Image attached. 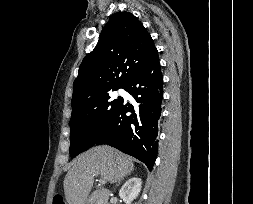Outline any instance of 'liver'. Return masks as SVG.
<instances>
[{
  "instance_id": "6515ba94",
  "label": "liver",
  "mask_w": 253,
  "mask_h": 204,
  "mask_svg": "<svg viewBox=\"0 0 253 204\" xmlns=\"http://www.w3.org/2000/svg\"><path fill=\"white\" fill-rule=\"evenodd\" d=\"M134 170L131 159L107 145L94 147L79 155L64 179V193L68 204H85L94 183L92 172L105 182L115 183Z\"/></svg>"
}]
</instances>
